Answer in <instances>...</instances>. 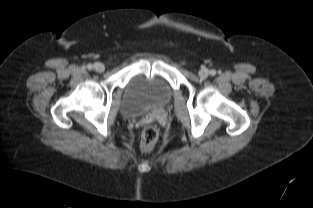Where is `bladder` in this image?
Returning a JSON list of instances; mask_svg holds the SVG:
<instances>
[{
    "instance_id": "1",
    "label": "bladder",
    "mask_w": 313,
    "mask_h": 208,
    "mask_svg": "<svg viewBox=\"0 0 313 208\" xmlns=\"http://www.w3.org/2000/svg\"><path fill=\"white\" fill-rule=\"evenodd\" d=\"M172 96L167 81L158 77L134 76L127 83L121 110L127 115H137L165 105Z\"/></svg>"
}]
</instances>
